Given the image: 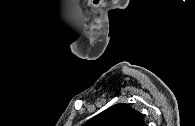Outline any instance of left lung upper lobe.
<instances>
[{"mask_svg":"<svg viewBox=\"0 0 195 126\" xmlns=\"http://www.w3.org/2000/svg\"><path fill=\"white\" fill-rule=\"evenodd\" d=\"M85 126H146V123L139 111L120 103L93 117Z\"/></svg>","mask_w":195,"mask_h":126,"instance_id":"1","label":"left lung upper lobe"}]
</instances>
